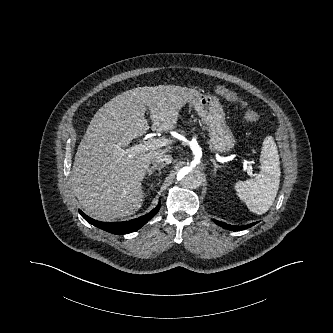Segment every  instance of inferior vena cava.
I'll return each instance as SVG.
<instances>
[{
    "label": "inferior vena cava",
    "instance_id": "inferior-vena-cava-1",
    "mask_svg": "<svg viewBox=\"0 0 333 333\" xmlns=\"http://www.w3.org/2000/svg\"><path fill=\"white\" fill-rule=\"evenodd\" d=\"M155 165H168L172 162V156L169 154H157L152 158Z\"/></svg>",
    "mask_w": 333,
    "mask_h": 333
}]
</instances>
